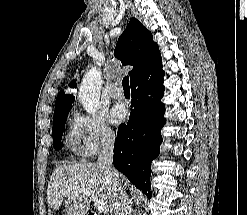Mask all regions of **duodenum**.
<instances>
[{
  "label": "duodenum",
  "instance_id": "duodenum-1",
  "mask_svg": "<svg viewBox=\"0 0 247 215\" xmlns=\"http://www.w3.org/2000/svg\"><path fill=\"white\" fill-rule=\"evenodd\" d=\"M87 215H97V214H94V213H88Z\"/></svg>",
  "mask_w": 247,
  "mask_h": 215
}]
</instances>
